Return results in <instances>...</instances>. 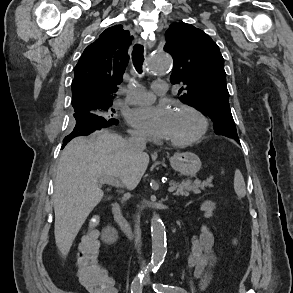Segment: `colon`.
I'll return each mask as SVG.
<instances>
[{"mask_svg": "<svg viewBox=\"0 0 293 293\" xmlns=\"http://www.w3.org/2000/svg\"><path fill=\"white\" fill-rule=\"evenodd\" d=\"M98 217L92 215L85 230L77 256L78 278L88 293H113V287L106 270L99 262L100 249L96 226Z\"/></svg>", "mask_w": 293, "mask_h": 293, "instance_id": "obj_1", "label": "colon"}]
</instances>
